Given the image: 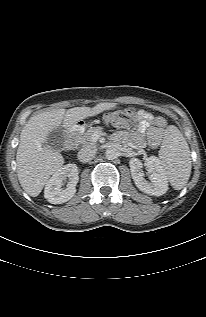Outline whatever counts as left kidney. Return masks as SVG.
Listing matches in <instances>:
<instances>
[{"mask_svg": "<svg viewBox=\"0 0 206 317\" xmlns=\"http://www.w3.org/2000/svg\"><path fill=\"white\" fill-rule=\"evenodd\" d=\"M144 165L150 172V182L144 179L143 163L139 159L132 158L129 162L132 179L137 188L149 195L161 196L165 194L168 190V181L159 159L150 156Z\"/></svg>", "mask_w": 206, "mask_h": 317, "instance_id": "1", "label": "left kidney"}]
</instances>
